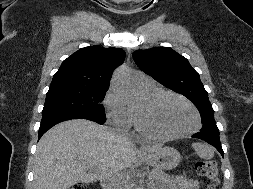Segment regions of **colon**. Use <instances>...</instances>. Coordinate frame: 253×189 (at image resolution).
Returning a JSON list of instances; mask_svg holds the SVG:
<instances>
[{
  "instance_id": "colon-1",
  "label": "colon",
  "mask_w": 253,
  "mask_h": 189,
  "mask_svg": "<svg viewBox=\"0 0 253 189\" xmlns=\"http://www.w3.org/2000/svg\"><path fill=\"white\" fill-rule=\"evenodd\" d=\"M199 176L208 182L207 189H216L219 182L218 168L213 161L197 160L194 164ZM71 189H86L83 184H76Z\"/></svg>"
}]
</instances>
